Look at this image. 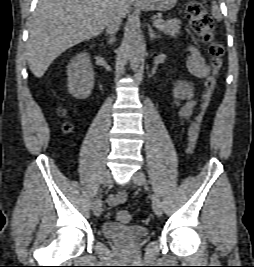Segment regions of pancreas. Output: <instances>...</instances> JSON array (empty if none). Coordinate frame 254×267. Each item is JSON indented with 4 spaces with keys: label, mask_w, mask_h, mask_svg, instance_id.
I'll return each instance as SVG.
<instances>
[{
    "label": "pancreas",
    "mask_w": 254,
    "mask_h": 267,
    "mask_svg": "<svg viewBox=\"0 0 254 267\" xmlns=\"http://www.w3.org/2000/svg\"><path fill=\"white\" fill-rule=\"evenodd\" d=\"M180 24V19H169L159 24L157 28L166 35L176 37L180 32Z\"/></svg>",
    "instance_id": "obj_1"
}]
</instances>
